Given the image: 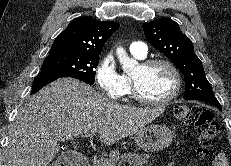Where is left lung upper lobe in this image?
Segmentation results:
<instances>
[{
  "instance_id": "1",
  "label": "left lung upper lobe",
  "mask_w": 231,
  "mask_h": 166,
  "mask_svg": "<svg viewBox=\"0 0 231 166\" xmlns=\"http://www.w3.org/2000/svg\"><path fill=\"white\" fill-rule=\"evenodd\" d=\"M142 26L148 42L164 53L184 74V99H216L192 41L181 32L175 21L159 18Z\"/></svg>"
}]
</instances>
